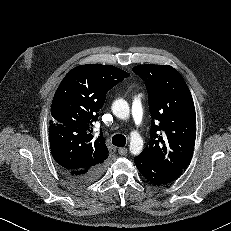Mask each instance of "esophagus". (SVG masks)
Instances as JSON below:
<instances>
[{
  "label": "esophagus",
  "instance_id": "34e87169",
  "mask_svg": "<svg viewBox=\"0 0 231 231\" xmlns=\"http://www.w3.org/2000/svg\"><path fill=\"white\" fill-rule=\"evenodd\" d=\"M118 153L122 156L126 155L127 154V148H125V147L118 148Z\"/></svg>",
  "mask_w": 231,
  "mask_h": 231
}]
</instances>
